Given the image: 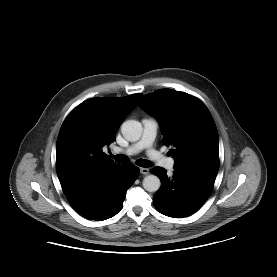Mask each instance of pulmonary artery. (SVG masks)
Masks as SVG:
<instances>
[{
    "instance_id": "pulmonary-artery-1",
    "label": "pulmonary artery",
    "mask_w": 277,
    "mask_h": 277,
    "mask_svg": "<svg viewBox=\"0 0 277 277\" xmlns=\"http://www.w3.org/2000/svg\"><path fill=\"white\" fill-rule=\"evenodd\" d=\"M143 125V133L141 139L128 146L125 149L122 148H115L114 152L116 153H124L127 155L137 154L142 150H146L148 157L158 164L169 171L174 169L175 160L173 158L165 157L159 151L153 148V142L156 137L157 129H158V122L155 118H144L142 120Z\"/></svg>"
}]
</instances>
